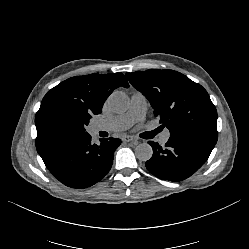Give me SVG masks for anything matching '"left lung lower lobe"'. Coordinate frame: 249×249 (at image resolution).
<instances>
[{"instance_id": "obj_1", "label": "left lung lower lobe", "mask_w": 249, "mask_h": 249, "mask_svg": "<svg viewBox=\"0 0 249 249\" xmlns=\"http://www.w3.org/2000/svg\"><path fill=\"white\" fill-rule=\"evenodd\" d=\"M153 156L146 168L154 176L172 182L182 181L194 174L208 159L215 144L195 138L171 136L165 146L153 141Z\"/></svg>"}]
</instances>
